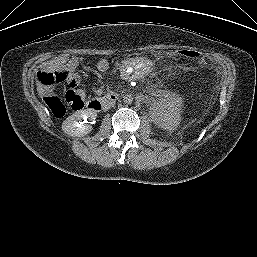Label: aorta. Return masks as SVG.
Masks as SVG:
<instances>
[{"mask_svg": "<svg viewBox=\"0 0 257 257\" xmlns=\"http://www.w3.org/2000/svg\"><path fill=\"white\" fill-rule=\"evenodd\" d=\"M123 101L125 104H132L133 103V97L131 94H126L124 97H123Z\"/></svg>", "mask_w": 257, "mask_h": 257, "instance_id": "1", "label": "aorta"}]
</instances>
